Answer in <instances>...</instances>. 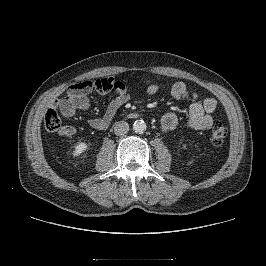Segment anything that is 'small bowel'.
Instances as JSON below:
<instances>
[{
    "instance_id": "1",
    "label": "small bowel",
    "mask_w": 266,
    "mask_h": 266,
    "mask_svg": "<svg viewBox=\"0 0 266 266\" xmlns=\"http://www.w3.org/2000/svg\"><path fill=\"white\" fill-rule=\"evenodd\" d=\"M158 87L150 85L147 88L148 94L156 93ZM171 95L179 101L189 99H197V94L190 90L188 86L182 82H175L171 87ZM113 99L108 104L104 114L101 117H94L89 120V125L97 130H103L108 127L116 116L117 112L128 100L129 95L125 89L113 92ZM54 106L60 110L62 115L67 118L75 116L79 111H85L89 108V100L85 93L74 96L69 91L66 97L57 99ZM217 103L213 98H206L202 102L194 101L189 107V113L184 127L193 130H208L214 123ZM181 124L179 117L168 112L161 118V128L164 132H171ZM75 134V128L65 126L61 129L60 135L71 137Z\"/></svg>"
}]
</instances>
